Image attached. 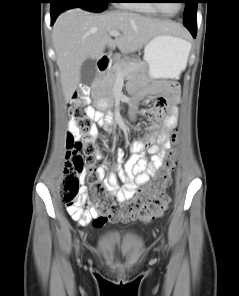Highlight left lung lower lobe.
Wrapping results in <instances>:
<instances>
[{"label": "left lung lower lobe", "instance_id": "0a47b994", "mask_svg": "<svg viewBox=\"0 0 239 296\" xmlns=\"http://www.w3.org/2000/svg\"><path fill=\"white\" fill-rule=\"evenodd\" d=\"M186 27L189 29V31L191 32V34L195 38L196 37V33H197V23H195V24H188V25H186Z\"/></svg>", "mask_w": 239, "mask_h": 296}]
</instances>
